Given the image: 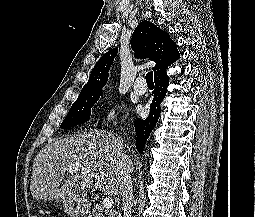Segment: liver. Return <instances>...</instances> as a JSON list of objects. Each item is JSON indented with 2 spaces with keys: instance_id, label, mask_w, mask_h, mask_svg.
<instances>
[{
  "instance_id": "1",
  "label": "liver",
  "mask_w": 255,
  "mask_h": 217,
  "mask_svg": "<svg viewBox=\"0 0 255 217\" xmlns=\"http://www.w3.org/2000/svg\"><path fill=\"white\" fill-rule=\"evenodd\" d=\"M129 157V156H128ZM116 138L113 134L90 130L50 142L34 159L30 191L33 199L71 203L84 200L98 173L97 186L105 194L122 191V175ZM80 164L83 169L64 180L66 168ZM132 170V159L129 157ZM64 180V182H63Z\"/></svg>"
}]
</instances>
